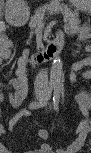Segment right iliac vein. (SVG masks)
Listing matches in <instances>:
<instances>
[{"label":"right iliac vein","instance_id":"obj_1","mask_svg":"<svg viewBox=\"0 0 91 153\" xmlns=\"http://www.w3.org/2000/svg\"><path fill=\"white\" fill-rule=\"evenodd\" d=\"M41 98H42V94L41 93H38L37 94V99L40 100Z\"/></svg>","mask_w":91,"mask_h":153}]
</instances>
